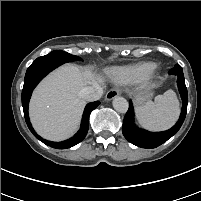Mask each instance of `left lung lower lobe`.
Listing matches in <instances>:
<instances>
[{
	"instance_id": "0a47b994",
	"label": "left lung lower lobe",
	"mask_w": 201,
	"mask_h": 201,
	"mask_svg": "<svg viewBox=\"0 0 201 201\" xmlns=\"http://www.w3.org/2000/svg\"><path fill=\"white\" fill-rule=\"evenodd\" d=\"M170 74L176 75L177 85L181 98L183 101L182 110L178 122L169 130L163 132H149L144 129L138 128L134 124V110L132 102H129V109L124 117L122 133L124 137L132 144L141 147L152 149L160 146L168 139H170L174 134L178 132L182 126L187 113L188 104V92L185 86L184 75L182 67L176 64L169 72Z\"/></svg>"
}]
</instances>
